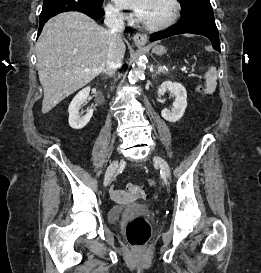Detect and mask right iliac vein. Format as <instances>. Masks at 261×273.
<instances>
[{
    "label": "right iliac vein",
    "mask_w": 261,
    "mask_h": 273,
    "mask_svg": "<svg viewBox=\"0 0 261 273\" xmlns=\"http://www.w3.org/2000/svg\"><path fill=\"white\" fill-rule=\"evenodd\" d=\"M119 166L118 160H114L106 170L103 185L106 187Z\"/></svg>",
    "instance_id": "1"
}]
</instances>
